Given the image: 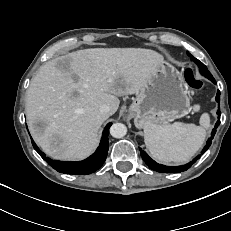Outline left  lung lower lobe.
<instances>
[{"instance_id":"0a47b994","label":"left lung lower lobe","mask_w":231,"mask_h":231,"mask_svg":"<svg viewBox=\"0 0 231 231\" xmlns=\"http://www.w3.org/2000/svg\"><path fill=\"white\" fill-rule=\"evenodd\" d=\"M211 81L213 83H216V81L213 79H211ZM216 101L219 103L220 102V91L218 90L217 91V95H216ZM217 115H218V121L216 122V125L214 127V129L212 130V133H211V137L209 138V140H207V143L204 147V149L202 150V154L205 153L207 151V149L210 147L211 143H212V139L216 133V129L217 127L219 126L220 124V115H221V111H220V107L218 108L217 110ZM140 153H141V157L142 159L144 160V162L147 164V166H149V168L155 170V171H158V172H162V173H180V172H183V171H186L187 169H189L192 164H194L196 162L197 159H199L200 155L197 156L195 159H193L192 162L186 164V165H183V166H165V165H162V164H158L156 163L154 160H152L145 151L143 150H140Z\"/></svg>"}]
</instances>
